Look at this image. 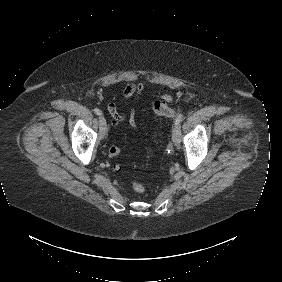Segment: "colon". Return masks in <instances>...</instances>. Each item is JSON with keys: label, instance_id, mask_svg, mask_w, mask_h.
Instances as JSON below:
<instances>
[{"label": "colon", "instance_id": "5ec220e1", "mask_svg": "<svg viewBox=\"0 0 282 282\" xmlns=\"http://www.w3.org/2000/svg\"><path fill=\"white\" fill-rule=\"evenodd\" d=\"M154 110L159 115H164L166 118H173L176 115V108L173 105H165L162 102H159L155 105ZM121 150L113 146L109 149V156L111 158H116L120 155ZM117 171L120 170V166H116ZM133 190L138 194H143L145 192V185L140 181H134Z\"/></svg>", "mask_w": 282, "mask_h": 282}]
</instances>
